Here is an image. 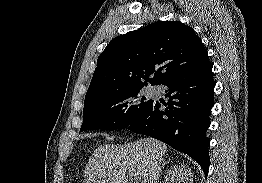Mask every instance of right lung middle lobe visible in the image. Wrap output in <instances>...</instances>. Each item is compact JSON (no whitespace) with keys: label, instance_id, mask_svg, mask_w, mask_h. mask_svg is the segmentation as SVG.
I'll use <instances>...</instances> for the list:
<instances>
[{"label":"right lung middle lobe","instance_id":"1","mask_svg":"<svg viewBox=\"0 0 262 183\" xmlns=\"http://www.w3.org/2000/svg\"><path fill=\"white\" fill-rule=\"evenodd\" d=\"M141 89L132 88L85 102L80 131L127 128L153 101L143 96Z\"/></svg>","mask_w":262,"mask_h":183}]
</instances>
